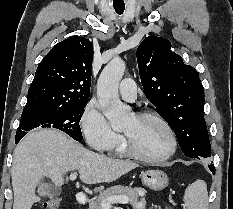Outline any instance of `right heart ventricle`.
<instances>
[{
	"label": "right heart ventricle",
	"instance_id": "right-heart-ventricle-1",
	"mask_svg": "<svg viewBox=\"0 0 233 209\" xmlns=\"http://www.w3.org/2000/svg\"><path fill=\"white\" fill-rule=\"evenodd\" d=\"M110 155L118 156V157H125L127 155L123 142L120 141L114 147L107 150Z\"/></svg>",
	"mask_w": 233,
	"mask_h": 209
}]
</instances>
